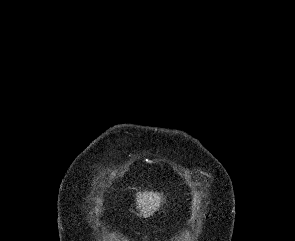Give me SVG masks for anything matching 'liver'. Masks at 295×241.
I'll return each mask as SVG.
<instances>
[{"mask_svg":"<svg viewBox=\"0 0 295 241\" xmlns=\"http://www.w3.org/2000/svg\"><path fill=\"white\" fill-rule=\"evenodd\" d=\"M163 202L162 194L157 192H137L136 204L140 211V216L149 217L156 212Z\"/></svg>","mask_w":295,"mask_h":241,"instance_id":"1","label":"liver"}]
</instances>
